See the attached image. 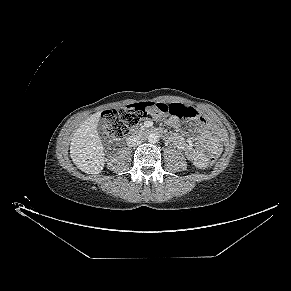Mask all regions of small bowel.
I'll return each mask as SVG.
<instances>
[{
  "label": "small bowel",
  "mask_w": 291,
  "mask_h": 291,
  "mask_svg": "<svg viewBox=\"0 0 291 291\" xmlns=\"http://www.w3.org/2000/svg\"><path fill=\"white\" fill-rule=\"evenodd\" d=\"M168 125L183 129L185 127L193 128L198 134V144H191L184 136L177 133L166 134L167 138L181 151L186 157L198 168H205L207 166L208 158L206 151L219 154L221 152V143L214 127L201 118L197 123L181 121L176 117H169L166 119ZM146 126H151L152 121H147Z\"/></svg>",
  "instance_id": "obj_1"
}]
</instances>
